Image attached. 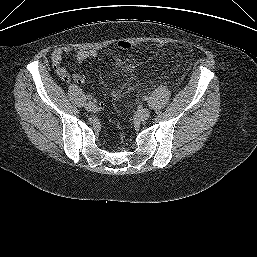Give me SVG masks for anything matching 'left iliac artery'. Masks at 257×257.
Instances as JSON below:
<instances>
[{
  "label": "left iliac artery",
  "instance_id": "44dca946",
  "mask_svg": "<svg viewBox=\"0 0 257 257\" xmlns=\"http://www.w3.org/2000/svg\"><path fill=\"white\" fill-rule=\"evenodd\" d=\"M143 100H144V101L148 100V96H146V95L143 96Z\"/></svg>",
  "mask_w": 257,
  "mask_h": 257
}]
</instances>
